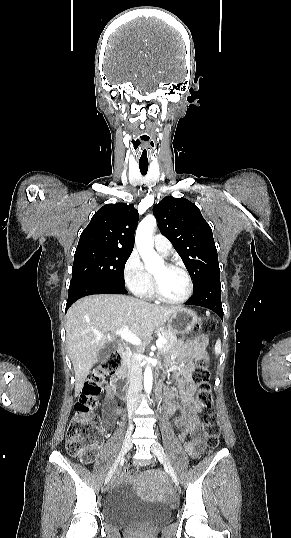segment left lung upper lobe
I'll list each match as a JSON object with an SVG mask.
<instances>
[{"mask_svg":"<svg viewBox=\"0 0 291 538\" xmlns=\"http://www.w3.org/2000/svg\"><path fill=\"white\" fill-rule=\"evenodd\" d=\"M161 233L182 258L193 278V293L220 279L212 229L199 208L185 198L167 196L153 207Z\"/></svg>","mask_w":291,"mask_h":538,"instance_id":"left-lung-upper-lobe-1","label":"left lung upper lobe"}]
</instances>
